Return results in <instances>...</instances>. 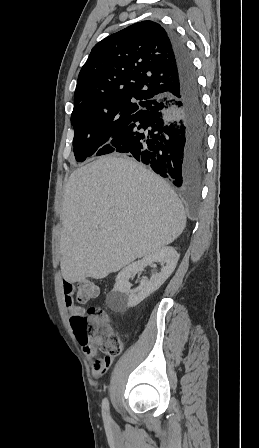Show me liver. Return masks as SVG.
<instances>
[{"mask_svg":"<svg viewBox=\"0 0 259 448\" xmlns=\"http://www.w3.org/2000/svg\"><path fill=\"white\" fill-rule=\"evenodd\" d=\"M60 220L61 274L70 284L119 272L174 242L186 226L184 206L163 178L112 154L71 174Z\"/></svg>","mask_w":259,"mask_h":448,"instance_id":"obj_1","label":"liver"}]
</instances>
